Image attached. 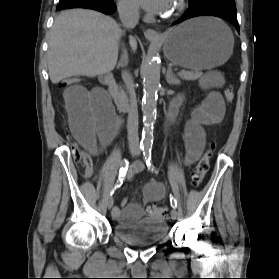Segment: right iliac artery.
I'll use <instances>...</instances> for the list:
<instances>
[{
    "label": "right iliac artery",
    "mask_w": 279,
    "mask_h": 279,
    "mask_svg": "<svg viewBox=\"0 0 279 279\" xmlns=\"http://www.w3.org/2000/svg\"><path fill=\"white\" fill-rule=\"evenodd\" d=\"M142 150L145 149V147H140ZM128 160L127 159H124L121 163V168H120V174H119V178L113 188V190L111 191V195L114 193V191L119 188L122 184H123V181H124V178H125V175H126V171L128 169Z\"/></svg>",
    "instance_id": "right-iliac-artery-1"
}]
</instances>
